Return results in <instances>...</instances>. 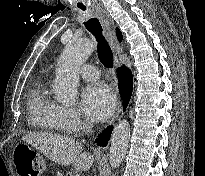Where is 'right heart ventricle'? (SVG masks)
Wrapping results in <instances>:
<instances>
[{
	"label": "right heart ventricle",
	"mask_w": 205,
	"mask_h": 176,
	"mask_svg": "<svg viewBox=\"0 0 205 176\" xmlns=\"http://www.w3.org/2000/svg\"><path fill=\"white\" fill-rule=\"evenodd\" d=\"M29 108L30 120L34 126L53 134L63 133L60 105L50 95L44 80H38L33 85L29 95Z\"/></svg>",
	"instance_id": "e07e8e85"
}]
</instances>
